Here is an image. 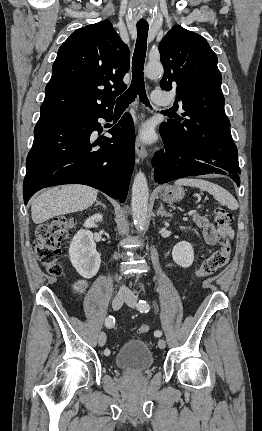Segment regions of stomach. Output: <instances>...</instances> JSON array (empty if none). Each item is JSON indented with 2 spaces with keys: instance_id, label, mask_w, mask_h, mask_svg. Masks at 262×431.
Wrapping results in <instances>:
<instances>
[{
  "instance_id": "stomach-1",
  "label": "stomach",
  "mask_w": 262,
  "mask_h": 431,
  "mask_svg": "<svg viewBox=\"0 0 262 431\" xmlns=\"http://www.w3.org/2000/svg\"><path fill=\"white\" fill-rule=\"evenodd\" d=\"M184 190L181 187L165 186L161 193V198L165 202H178L184 197Z\"/></svg>"
}]
</instances>
